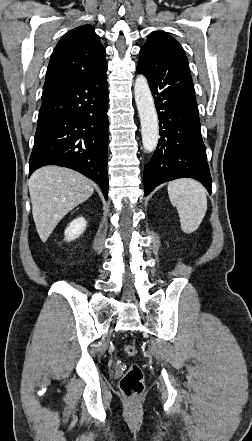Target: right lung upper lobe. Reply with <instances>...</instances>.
Returning a JSON list of instances; mask_svg holds the SVG:
<instances>
[{
  "mask_svg": "<svg viewBox=\"0 0 252 441\" xmlns=\"http://www.w3.org/2000/svg\"><path fill=\"white\" fill-rule=\"evenodd\" d=\"M105 49L91 25L67 32L51 55L44 89L105 73Z\"/></svg>",
  "mask_w": 252,
  "mask_h": 441,
  "instance_id": "right-lung-upper-lobe-1",
  "label": "right lung upper lobe"
}]
</instances>
